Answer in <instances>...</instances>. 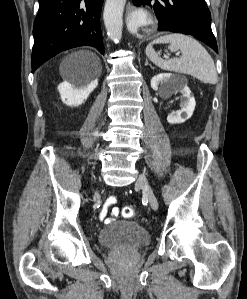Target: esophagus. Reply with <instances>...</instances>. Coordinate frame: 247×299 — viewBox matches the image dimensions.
Instances as JSON below:
<instances>
[{
	"label": "esophagus",
	"mask_w": 247,
	"mask_h": 299,
	"mask_svg": "<svg viewBox=\"0 0 247 299\" xmlns=\"http://www.w3.org/2000/svg\"><path fill=\"white\" fill-rule=\"evenodd\" d=\"M131 7V5H130V3H128V8H130Z\"/></svg>",
	"instance_id": "esophagus-1"
}]
</instances>
